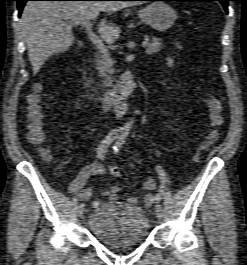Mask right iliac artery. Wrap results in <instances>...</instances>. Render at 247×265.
Listing matches in <instances>:
<instances>
[{"label": "right iliac artery", "mask_w": 247, "mask_h": 265, "mask_svg": "<svg viewBox=\"0 0 247 265\" xmlns=\"http://www.w3.org/2000/svg\"><path fill=\"white\" fill-rule=\"evenodd\" d=\"M121 135L120 133L117 131V130H113L111 131L110 133H108L104 139L100 142L98 148H97V158L98 159H103L106 152H107V149L109 147V145L117 138H119ZM99 205V202L98 201H93L92 202V207H97Z\"/></svg>", "instance_id": "right-iliac-artery-1"}]
</instances>
